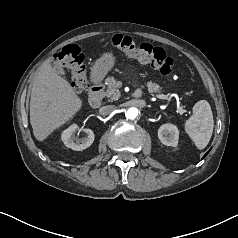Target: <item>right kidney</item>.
Segmentation results:
<instances>
[{"label": "right kidney", "instance_id": "right-kidney-1", "mask_svg": "<svg viewBox=\"0 0 238 238\" xmlns=\"http://www.w3.org/2000/svg\"><path fill=\"white\" fill-rule=\"evenodd\" d=\"M84 132L85 137L75 141V132ZM94 133L91 129L88 128H79L77 125L73 124L69 128L63 131L61 139L64 145L68 148H71L75 151H82L88 148L94 141Z\"/></svg>", "mask_w": 238, "mask_h": 238}]
</instances>
